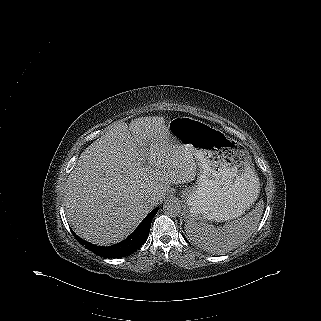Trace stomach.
Wrapping results in <instances>:
<instances>
[{"label":"stomach","mask_w":321,"mask_h":321,"mask_svg":"<svg viewBox=\"0 0 321 321\" xmlns=\"http://www.w3.org/2000/svg\"><path fill=\"white\" fill-rule=\"evenodd\" d=\"M167 129L200 168L196 185L181 192L187 220L227 221L244 214L259 193L248 153L219 129L191 117L174 118Z\"/></svg>","instance_id":"obj_1"}]
</instances>
